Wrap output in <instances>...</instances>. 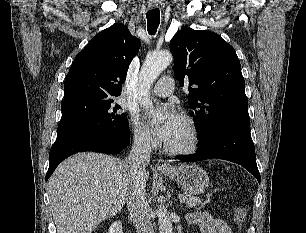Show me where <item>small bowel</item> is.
Segmentation results:
<instances>
[{
  "label": "small bowel",
  "mask_w": 306,
  "mask_h": 233,
  "mask_svg": "<svg viewBox=\"0 0 306 233\" xmlns=\"http://www.w3.org/2000/svg\"><path fill=\"white\" fill-rule=\"evenodd\" d=\"M187 220L190 224L197 225L201 233H232L224 220L214 218L207 212L191 213L187 216Z\"/></svg>",
  "instance_id": "small-bowel-1"
}]
</instances>
